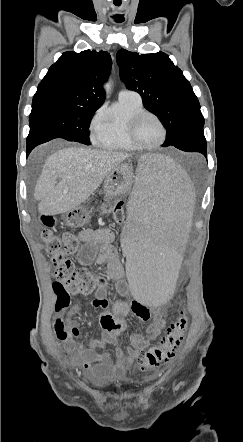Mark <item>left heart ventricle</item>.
<instances>
[{"instance_id":"left-heart-ventricle-1","label":"left heart ventricle","mask_w":243,"mask_h":442,"mask_svg":"<svg viewBox=\"0 0 243 442\" xmlns=\"http://www.w3.org/2000/svg\"><path fill=\"white\" fill-rule=\"evenodd\" d=\"M137 139L144 145H154L162 137V129L153 117L143 118L136 130Z\"/></svg>"}]
</instances>
